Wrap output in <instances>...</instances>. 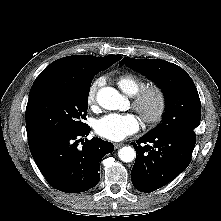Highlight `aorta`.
I'll return each mask as SVG.
<instances>
[{
	"mask_svg": "<svg viewBox=\"0 0 221 221\" xmlns=\"http://www.w3.org/2000/svg\"><path fill=\"white\" fill-rule=\"evenodd\" d=\"M98 104L107 110L121 109L124 104V96H122L116 89L112 87H104L97 93ZM118 156L123 162H132L136 156L135 150L130 146L122 147L118 151Z\"/></svg>",
	"mask_w": 221,
	"mask_h": 221,
	"instance_id": "1",
	"label": "aorta"
}]
</instances>
